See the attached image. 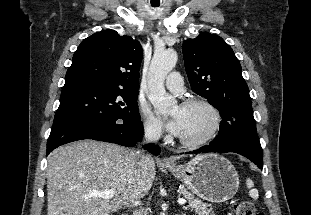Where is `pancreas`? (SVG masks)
Returning a JSON list of instances; mask_svg holds the SVG:
<instances>
[{"label": "pancreas", "mask_w": 311, "mask_h": 215, "mask_svg": "<svg viewBox=\"0 0 311 215\" xmlns=\"http://www.w3.org/2000/svg\"><path fill=\"white\" fill-rule=\"evenodd\" d=\"M180 191L185 199L188 200V208L194 211L197 215H214L212 208L209 204L200 201L194 196V194L188 192L184 187L180 188Z\"/></svg>", "instance_id": "obj_1"}]
</instances>
